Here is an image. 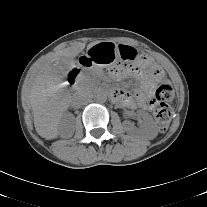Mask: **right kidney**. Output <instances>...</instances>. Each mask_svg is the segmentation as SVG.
Instances as JSON below:
<instances>
[{"instance_id":"ca27d5eb","label":"right kidney","mask_w":207,"mask_h":207,"mask_svg":"<svg viewBox=\"0 0 207 207\" xmlns=\"http://www.w3.org/2000/svg\"><path fill=\"white\" fill-rule=\"evenodd\" d=\"M70 118H71L70 115H65L64 118L61 120V124L64 125Z\"/></svg>"}]
</instances>
